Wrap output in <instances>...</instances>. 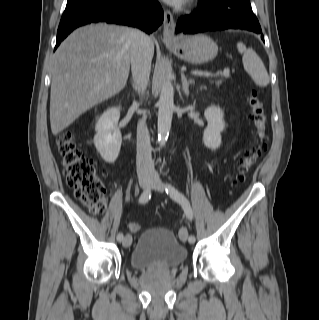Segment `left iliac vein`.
<instances>
[{"label": "left iliac vein", "instance_id": "obj_1", "mask_svg": "<svg viewBox=\"0 0 319 320\" xmlns=\"http://www.w3.org/2000/svg\"><path fill=\"white\" fill-rule=\"evenodd\" d=\"M150 187L154 190H157L159 192H162L165 188L164 183L160 180L159 177H153L151 180V184ZM180 239L183 242L187 241V237H188V233L187 230L185 228H181L180 233H179Z\"/></svg>", "mask_w": 319, "mask_h": 320}]
</instances>
